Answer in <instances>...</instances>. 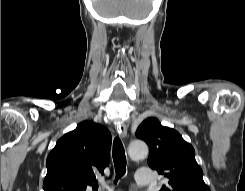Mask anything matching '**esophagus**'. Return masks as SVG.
Instances as JSON below:
<instances>
[{"label": "esophagus", "instance_id": "obj_1", "mask_svg": "<svg viewBox=\"0 0 245 191\" xmlns=\"http://www.w3.org/2000/svg\"><path fill=\"white\" fill-rule=\"evenodd\" d=\"M116 130L120 136L125 138L127 136V127L124 123L117 125Z\"/></svg>", "mask_w": 245, "mask_h": 191}]
</instances>
